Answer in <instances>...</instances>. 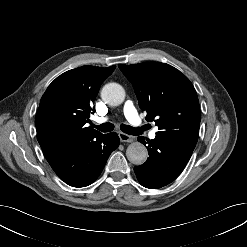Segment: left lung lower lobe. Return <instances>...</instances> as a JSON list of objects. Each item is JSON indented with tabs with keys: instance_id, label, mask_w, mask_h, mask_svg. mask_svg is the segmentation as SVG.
<instances>
[{
	"instance_id": "1",
	"label": "left lung lower lobe",
	"mask_w": 247,
	"mask_h": 247,
	"mask_svg": "<svg viewBox=\"0 0 247 247\" xmlns=\"http://www.w3.org/2000/svg\"><path fill=\"white\" fill-rule=\"evenodd\" d=\"M138 137V141L148 144L149 158L134 167L140 184L146 188L157 189L173 182L185 168L196 143L183 137H160L153 140Z\"/></svg>"
}]
</instances>
